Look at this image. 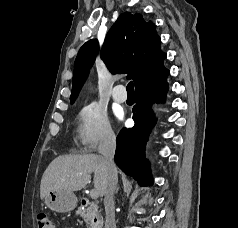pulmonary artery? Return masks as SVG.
<instances>
[{"instance_id":"pulmonary-artery-1","label":"pulmonary artery","mask_w":238,"mask_h":228,"mask_svg":"<svg viewBox=\"0 0 238 228\" xmlns=\"http://www.w3.org/2000/svg\"><path fill=\"white\" fill-rule=\"evenodd\" d=\"M113 99L118 103H123L127 99V94L125 93V88L123 85H117L112 91Z\"/></svg>"}]
</instances>
